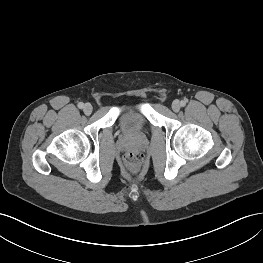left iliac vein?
I'll return each instance as SVG.
<instances>
[{
	"label": "left iliac vein",
	"instance_id": "1",
	"mask_svg": "<svg viewBox=\"0 0 263 263\" xmlns=\"http://www.w3.org/2000/svg\"><path fill=\"white\" fill-rule=\"evenodd\" d=\"M181 108V103L179 100H174L173 103H172V110L174 112H178Z\"/></svg>",
	"mask_w": 263,
	"mask_h": 263
}]
</instances>
